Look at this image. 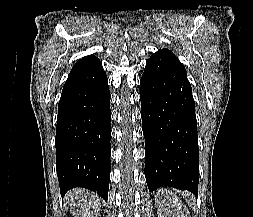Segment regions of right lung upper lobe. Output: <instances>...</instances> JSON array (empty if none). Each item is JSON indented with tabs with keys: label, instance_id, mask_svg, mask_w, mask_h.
I'll return each mask as SVG.
<instances>
[{
	"label": "right lung upper lobe",
	"instance_id": "1",
	"mask_svg": "<svg viewBox=\"0 0 253 217\" xmlns=\"http://www.w3.org/2000/svg\"><path fill=\"white\" fill-rule=\"evenodd\" d=\"M95 60H98L97 57H95L94 55H89V56H86V57H83L82 59H80L76 64L75 66L73 67L74 68H77V67H81L83 65H86V64H89V63H92L93 61Z\"/></svg>",
	"mask_w": 253,
	"mask_h": 217
}]
</instances>
